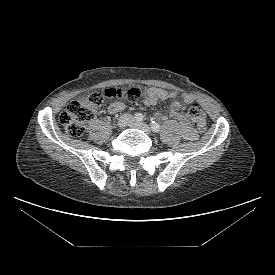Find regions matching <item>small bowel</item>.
<instances>
[{
	"label": "small bowel",
	"mask_w": 275,
	"mask_h": 275,
	"mask_svg": "<svg viewBox=\"0 0 275 275\" xmlns=\"http://www.w3.org/2000/svg\"><path fill=\"white\" fill-rule=\"evenodd\" d=\"M146 105H155L165 100H172L170 116L174 119L187 140L197 138V132L190 126L189 114L186 108L193 103V99L188 94L178 95L175 91H166L159 88H149L145 90L143 96ZM126 105L123 102L115 101L108 107L110 114H117L125 109Z\"/></svg>",
	"instance_id": "c3829d8e"
}]
</instances>
